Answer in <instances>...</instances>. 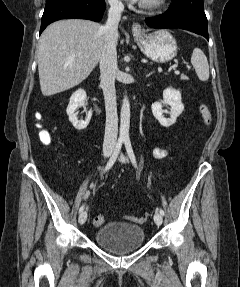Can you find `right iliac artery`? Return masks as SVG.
<instances>
[{
	"label": "right iliac artery",
	"mask_w": 240,
	"mask_h": 287,
	"mask_svg": "<svg viewBox=\"0 0 240 287\" xmlns=\"http://www.w3.org/2000/svg\"><path fill=\"white\" fill-rule=\"evenodd\" d=\"M122 144H123V140L119 139L117 144H116V147L114 149V152H113L111 158L109 159V161H108V163L104 169V172L108 171L113 166V164L115 163V161H116V159L120 153ZM84 208H85V205H82L79 209V213L83 212Z\"/></svg>",
	"instance_id": "right-iliac-artery-1"
}]
</instances>
